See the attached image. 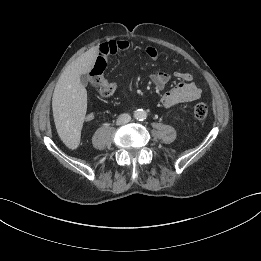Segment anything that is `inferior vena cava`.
Returning <instances> with one entry per match:
<instances>
[{
	"mask_svg": "<svg viewBox=\"0 0 261 261\" xmlns=\"http://www.w3.org/2000/svg\"><path fill=\"white\" fill-rule=\"evenodd\" d=\"M131 121V116L128 113H124L119 115L117 119V124L118 125H123Z\"/></svg>",
	"mask_w": 261,
	"mask_h": 261,
	"instance_id": "602c4592",
	"label": "inferior vena cava"
}]
</instances>
